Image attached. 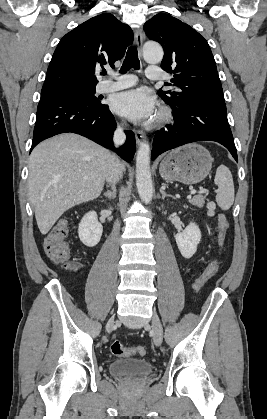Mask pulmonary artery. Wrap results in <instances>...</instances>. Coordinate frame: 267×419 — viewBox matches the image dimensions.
<instances>
[{
  "label": "pulmonary artery",
  "mask_w": 267,
  "mask_h": 419,
  "mask_svg": "<svg viewBox=\"0 0 267 419\" xmlns=\"http://www.w3.org/2000/svg\"><path fill=\"white\" fill-rule=\"evenodd\" d=\"M146 76L152 80H159L162 79L163 74L160 68L155 66H149L146 70ZM111 77L113 78V80H105L99 84V92L104 93L128 88L133 86L137 81L134 75H118L112 73Z\"/></svg>",
  "instance_id": "1"
}]
</instances>
